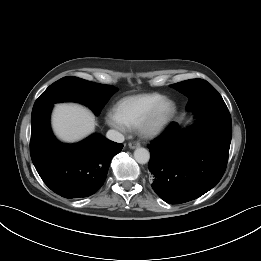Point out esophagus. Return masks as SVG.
Instances as JSON below:
<instances>
[{
    "instance_id": "obj_1",
    "label": "esophagus",
    "mask_w": 261,
    "mask_h": 261,
    "mask_svg": "<svg viewBox=\"0 0 261 261\" xmlns=\"http://www.w3.org/2000/svg\"><path fill=\"white\" fill-rule=\"evenodd\" d=\"M128 146H129V148H131V149H135V148H138V147L140 146V143L133 141V142H130V143L128 144Z\"/></svg>"
}]
</instances>
